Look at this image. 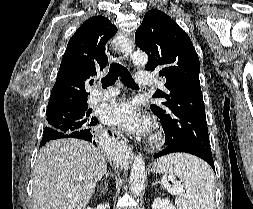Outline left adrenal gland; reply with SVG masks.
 Instances as JSON below:
<instances>
[{
	"label": "left adrenal gland",
	"mask_w": 253,
	"mask_h": 209,
	"mask_svg": "<svg viewBox=\"0 0 253 209\" xmlns=\"http://www.w3.org/2000/svg\"><path fill=\"white\" fill-rule=\"evenodd\" d=\"M159 183L158 180H156L154 183H152L153 186L157 185Z\"/></svg>",
	"instance_id": "obj_1"
}]
</instances>
